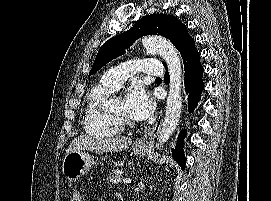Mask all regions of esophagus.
Segmentation results:
<instances>
[{"mask_svg":"<svg viewBox=\"0 0 271 201\" xmlns=\"http://www.w3.org/2000/svg\"><path fill=\"white\" fill-rule=\"evenodd\" d=\"M162 121H163V113L162 111H160L159 117L156 123L153 125V127L151 128L149 132H147L145 135H143L140 139L136 141V145L138 146L149 145L160 132L161 127H162Z\"/></svg>","mask_w":271,"mask_h":201,"instance_id":"obj_1","label":"esophagus"}]
</instances>
